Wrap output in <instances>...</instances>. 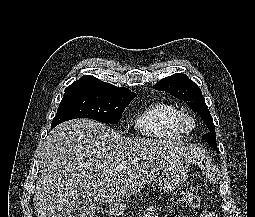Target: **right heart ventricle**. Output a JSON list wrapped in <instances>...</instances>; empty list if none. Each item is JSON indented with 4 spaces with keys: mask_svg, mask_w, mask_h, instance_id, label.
<instances>
[{
    "mask_svg": "<svg viewBox=\"0 0 255 217\" xmlns=\"http://www.w3.org/2000/svg\"><path fill=\"white\" fill-rule=\"evenodd\" d=\"M180 114L174 105L156 101L136 116L135 128L147 137L170 140L183 138L186 132L179 125Z\"/></svg>",
    "mask_w": 255,
    "mask_h": 217,
    "instance_id": "obj_1",
    "label": "right heart ventricle"
}]
</instances>
